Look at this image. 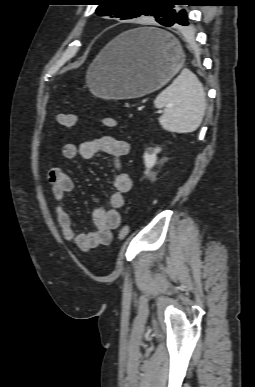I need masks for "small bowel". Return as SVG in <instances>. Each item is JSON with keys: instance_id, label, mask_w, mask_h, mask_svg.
Masks as SVG:
<instances>
[{"instance_id": "c3829d8e", "label": "small bowel", "mask_w": 255, "mask_h": 387, "mask_svg": "<svg viewBox=\"0 0 255 387\" xmlns=\"http://www.w3.org/2000/svg\"><path fill=\"white\" fill-rule=\"evenodd\" d=\"M130 145L126 140L112 136H101L84 141L79 145L65 144L62 154L67 159H91L98 154L108 156L112 160L116 175L113 181L114 190L109 198V207H96L92 212L95 230L81 232L74 228L70 213L65 207L66 196L71 193L75 184L73 179L61 168H51L47 179L57 204L55 214L64 239L81 251L87 252L101 245H108L112 240V231L121 224L119 209L124 206V195L130 191L132 180L121 170V159L129 152Z\"/></svg>"}]
</instances>
